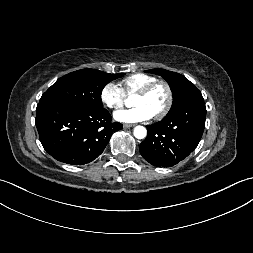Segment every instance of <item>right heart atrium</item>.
Segmentation results:
<instances>
[{
    "label": "right heart atrium",
    "instance_id": "right-heart-atrium-1",
    "mask_svg": "<svg viewBox=\"0 0 253 253\" xmlns=\"http://www.w3.org/2000/svg\"><path fill=\"white\" fill-rule=\"evenodd\" d=\"M100 99L106 107L113 110H118L125 102L126 93L118 84L114 82H108L100 91Z\"/></svg>",
    "mask_w": 253,
    "mask_h": 253
}]
</instances>
